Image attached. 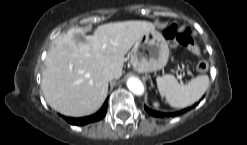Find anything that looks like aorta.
<instances>
[{
  "mask_svg": "<svg viewBox=\"0 0 247 145\" xmlns=\"http://www.w3.org/2000/svg\"><path fill=\"white\" fill-rule=\"evenodd\" d=\"M127 87L135 95H142L144 93L143 83L136 77L128 78Z\"/></svg>",
  "mask_w": 247,
  "mask_h": 145,
  "instance_id": "762f6f07",
  "label": "aorta"
}]
</instances>
